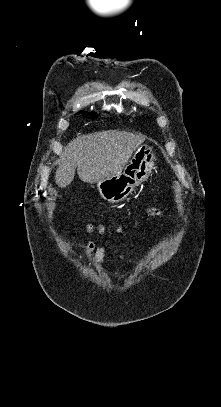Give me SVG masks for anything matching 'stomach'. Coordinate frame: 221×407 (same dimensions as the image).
Wrapping results in <instances>:
<instances>
[{
	"mask_svg": "<svg viewBox=\"0 0 221 407\" xmlns=\"http://www.w3.org/2000/svg\"><path fill=\"white\" fill-rule=\"evenodd\" d=\"M154 161L152 147L146 144L138 146L122 170L97 183L98 193L110 203L123 201L139 184L148 179L154 168Z\"/></svg>",
	"mask_w": 221,
	"mask_h": 407,
	"instance_id": "0dacf381",
	"label": "stomach"
}]
</instances>
